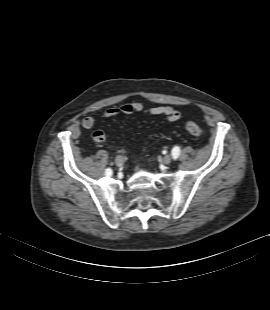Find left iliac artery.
I'll return each mask as SVG.
<instances>
[{
  "mask_svg": "<svg viewBox=\"0 0 270 310\" xmlns=\"http://www.w3.org/2000/svg\"><path fill=\"white\" fill-rule=\"evenodd\" d=\"M180 154V148L179 147H174L172 150V157L174 160H176L178 158Z\"/></svg>",
  "mask_w": 270,
  "mask_h": 310,
  "instance_id": "1",
  "label": "left iliac artery"
}]
</instances>
